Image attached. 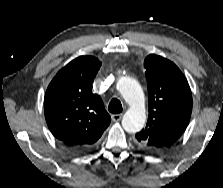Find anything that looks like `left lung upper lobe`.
Instances as JSON below:
<instances>
[{
	"instance_id": "obj_1",
	"label": "left lung upper lobe",
	"mask_w": 223,
	"mask_h": 188,
	"mask_svg": "<svg viewBox=\"0 0 223 188\" xmlns=\"http://www.w3.org/2000/svg\"><path fill=\"white\" fill-rule=\"evenodd\" d=\"M149 116L137 141L151 152L170 148L188 126L192 94L187 79L171 61L151 54L144 60Z\"/></svg>"
}]
</instances>
